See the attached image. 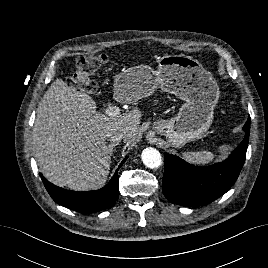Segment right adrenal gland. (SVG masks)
<instances>
[{"instance_id": "obj_1", "label": "right adrenal gland", "mask_w": 268, "mask_h": 268, "mask_svg": "<svg viewBox=\"0 0 268 268\" xmlns=\"http://www.w3.org/2000/svg\"><path fill=\"white\" fill-rule=\"evenodd\" d=\"M117 145H118V143L110 144V145L108 146V147H109L108 152H109V156H110V157H111L112 154H113V149H114V147L117 146Z\"/></svg>"}]
</instances>
